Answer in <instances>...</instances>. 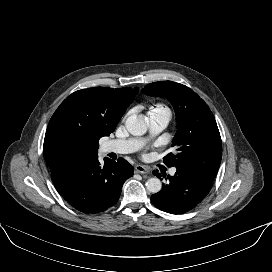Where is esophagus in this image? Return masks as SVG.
<instances>
[{"label":"esophagus","instance_id":"34e87169","mask_svg":"<svg viewBox=\"0 0 272 272\" xmlns=\"http://www.w3.org/2000/svg\"><path fill=\"white\" fill-rule=\"evenodd\" d=\"M135 172L141 173V174H148L150 172L149 168L144 165H136L135 166Z\"/></svg>","mask_w":272,"mask_h":272}]
</instances>
